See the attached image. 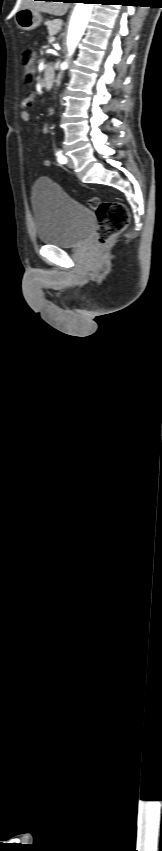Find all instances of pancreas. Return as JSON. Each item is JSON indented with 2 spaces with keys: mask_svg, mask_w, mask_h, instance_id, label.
I'll return each instance as SVG.
<instances>
[{
  "mask_svg": "<svg viewBox=\"0 0 162 851\" xmlns=\"http://www.w3.org/2000/svg\"><path fill=\"white\" fill-rule=\"evenodd\" d=\"M46 25H47L48 33H49L48 41H49V43H51L50 42L51 37H53L55 34H57L59 32V30L61 29V26H62V22L60 20L48 21L46 23Z\"/></svg>",
  "mask_w": 162,
  "mask_h": 851,
  "instance_id": "pancreas-1",
  "label": "pancreas"
}]
</instances>
